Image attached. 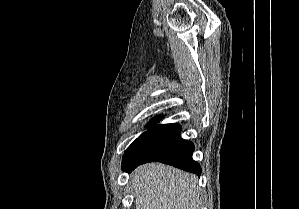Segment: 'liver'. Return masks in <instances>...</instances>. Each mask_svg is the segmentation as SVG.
Masks as SVG:
<instances>
[{
    "label": "liver",
    "instance_id": "6515ba94",
    "mask_svg": "<svg viewBox=\"0 0 299 209\" xmlns=\"http://www.w3.org/2000/svg\"><path fill=\"white\" fill-rule=\"evenodd\" d=\"M135 209H200L197 178L179 169L149 163L132 175Z\"/></svg>",
    "mask_w": 299,
    "mask_h": 209
}]
</instances>
